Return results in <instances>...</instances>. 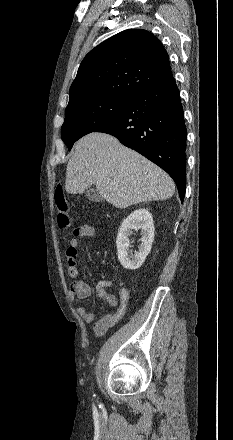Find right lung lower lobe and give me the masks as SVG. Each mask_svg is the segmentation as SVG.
<instances>
[{
    "label": "right lung lower lobe",
    "instance_id": "obj_1",
    "mask_svg": "<svg viewBox=\"0 0 233 440\" xmlns=\"http://www.w3.org/2000/svg\"><path fill=\"white\" fill-rule=\"evenodd\" d=\"M115 136L164 169L183 202L186 188V137L183 108L175 79L133 95L121 113L97 129Z\"/></svg>",
    "mask_w": 233,
    "mask_h": 440
}]
</instances>
